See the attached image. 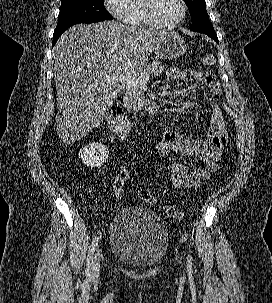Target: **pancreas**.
<instances>
[{
  "label": "pancreas",
  "mask_w": 272,
  "mask_h": 303,
  "mask_svg": "<svg viewBox=\"0 0 272 303\" xmlns=\"http://www.w3.org/2000/svg\"><path fill=\"white\" fill-rule=\"evenodd\" d=\"M165 66L162 64L159 60H154L152 63H149L147 66H145L138 74L137 76L146 75V74H152L155 76H158L162 73ZM144 98V93L141 90V86H128L125 87L124 92V99L126 102H130L134 106L138 104L140 100Z\"/></svg>",
  "instance_id": "obj_1"
}]
</instances>
